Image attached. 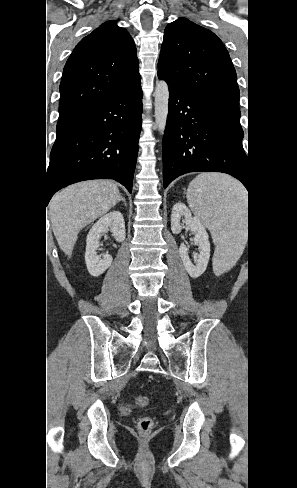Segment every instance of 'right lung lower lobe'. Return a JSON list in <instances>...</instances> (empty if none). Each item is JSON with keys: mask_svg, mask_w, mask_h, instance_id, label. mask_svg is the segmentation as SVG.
<instances>
[{"mask_svg": "<svg viewBox=\"0 0 297 488\" xmlns=\"http://www.w3.org/2000/svg\"><path fill=\"white\" fill-rule=\"evenodd\" d=\"M140 78L110 97L58 123L47 170L45 202L61 188L91 179H114L132 191L141 131Z\"/></svg>", "mask_w": 297, "mask_h": 488, "instance_id": "1", "label": "right lung lower lobe"}]
</instances>
